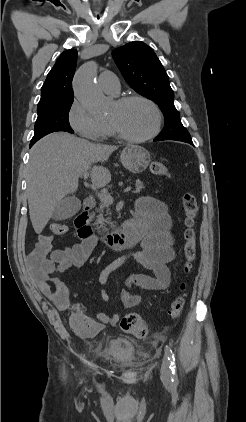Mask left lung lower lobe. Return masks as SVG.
I'll return each mask as SVG.
<instances>
[{"label":"left lung lower lobe","instance_id":"1","mask_svg":"<svg viewBox=\"0 0 246 422\" xmlns=\"http://www.w3.org/2000/svg\"><path fill=\"white\" fill-rule=\"evenodd\" d=\"M154 141H159L158 139H154ZM183 142H187V143H189V144H191V145H193V143H192V140H186V141H183ZM194 146V145H193Z\"/></svg>","mask_w":246,"mask_h":422}]
</instances>
